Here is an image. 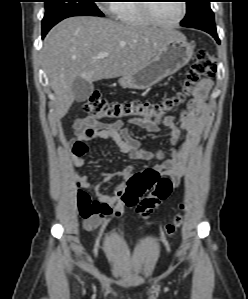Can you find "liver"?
<instances>
[{
    "instance_id": "obj_1",
    "label": "liver",
    "mask_w": 248,
    "mask_h": 299,
    "mask_svg": "<svg viewBox=\"0 0 248 299\" xmlns=\"http://www.w3.org/2000/svg\"><path fill=\"white\" fill-rule=\"evenodd\" d=\"M184 37L171 28H155L77 16L54 26L42 48L44 69L55 93L54 117L63 118L74 102L72 85L116 78L143 68L172 39ZM108 52L109 56L99 55Z\"/></svg>"
}]
</instances>
